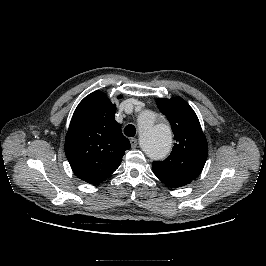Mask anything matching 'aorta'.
I'll list each match as a JSON object with an SVG mask.
<instances>
[{
  "label": "aorta",
  "instance_id": "762f6f07",
  "mask_svg": "<svg viewBox=\"0 0 266 266\" xmlns=\"http://www.w3.org/2000/svg\"><path fill=\"white\" fill-rule=\"evenodd\" d=\"M140 145L143 151L152 159L166 157L172 146L170 127L159 120L151 111H143L139 115Z\"/></svg>",
  "mask_w": 266,
  "mask_h": 266
}]
</instances>
